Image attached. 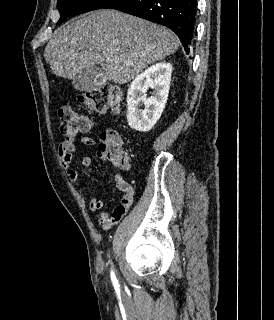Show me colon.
Masks as SVG:
<instances>
[{
  "instance_id": "5ec220e1",
  "label": "colon",
  "mask_w": 274,
  "mask_h": 320,
  "mask_svg": "<svg viewBox=\"0 0 274 320\" xmlns=\"http://www.w3.org/2000/svg\"><path fill=\"white\" fill-rule=\"evenodd\" d=\"M116 96L117 90L113 86L93 88L82 93L80 102L90 112L104 113L115 106ZM58 118L63 134L69 137L72 134H81L83 121L91 120L87 115L67 104L60 107ZM98 149L105 153L117 167L126 165L123 142L117 132L110 130L102 132L99 137Z\"/></svg>"
}]
</instances>
